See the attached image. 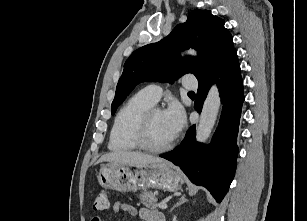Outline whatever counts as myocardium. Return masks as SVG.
Returning <instances> with one entry per match:
<instances>
[{"mask_svg":"<svg viewBox=\"0 0 307 221\" xmlns=\"http://www.w3.org/2000/svg\"><path fill=\"white\" fill-rule=\"evenodd\" d=\"M159 111L162 110L157 107H151L147 109L139 118L134 133V140L138 148L150 153H161L167 151L173 146L175 141V138H172L169 142L161 146H154L149 142L148 136L151 120L154 114Z\"/></svg>","mask_w":307,"mask_h":221,"instance_id":"1","label":"myocardium"}]
</instances>
